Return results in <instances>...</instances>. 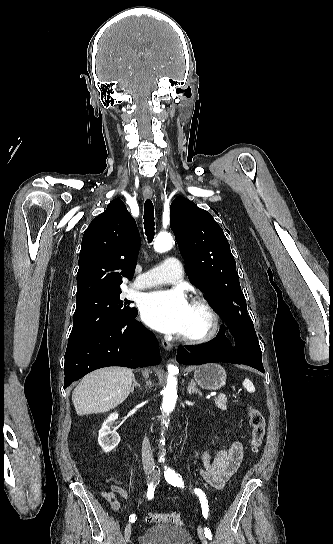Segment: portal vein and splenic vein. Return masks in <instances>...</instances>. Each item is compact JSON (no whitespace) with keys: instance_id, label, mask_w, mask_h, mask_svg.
<instances>
[{"instance_id":"18ae733b","label":"portal vein and splenic vein","mask_w":333,"mask_h":544,"mask_svg":"<svg viewBox=\"0 0 333 544\" xmlns=\"http://www.w3.org/2000/svg\"><path fill=\"white\" fill-rule=\"evenodd\" d=\"M215 395H216V393H215V392H213V393H211V394H210V396H215Z\"/></svg>"}]
</instances>
